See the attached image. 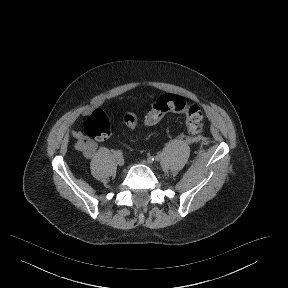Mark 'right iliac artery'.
<instances>
[{
    "instance_id": "right-iliac-artery-1",
    "label": "right iliac artery",
    "mask_w": 288,
    "mask_h": 288,
    "mask_svg": "<svg viewBox=\"0 0 288 288\" xmlns=\"http://www.w3.org/2000/svg\"><path fill=\"white\" fill-rule=\"evenodd\" d=\"M114 158H117V159H121L122 158L121 150H117V151L114 152Z\"/></svg>"
}]
</instances>
